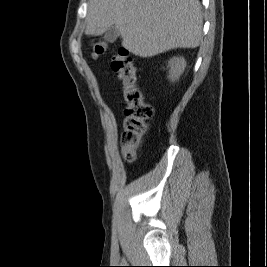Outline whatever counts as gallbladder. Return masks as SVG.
<instances>
[{
    "label": "gallbladder",
    "instance_id": "gallbladder-1",
    "mask_svg": "<svg viewBox=\"0 0 267 267\" xmlns=\"http://www.w3.org/2000/svg\"><path fill=\"white\" fill-rule=\"evenodd\" d=\"M120 36L119 30L116 28V26H111L104 35V40L113 43L116 41V39Z\"/></svg>",
    "mask_w": 267,
    "mask_h": 267
}]
</instances>
